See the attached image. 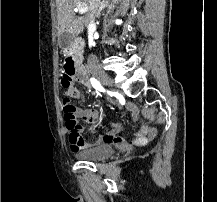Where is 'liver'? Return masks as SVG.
Returning <instances> with one entry per match:
<instances>
[{
    "label": "liver",
    "instance_id": "6515ba94",
    "mask_svg": "<svg viewBox=\"0 0 217 202\" xmlns=\"http://www.w3.org/2000/svg\"><path fill=\"white\" fill-rule=\"evenodd\" d=\"M78 2L79 0H56L59 34L68 32L73 36H79L83 32L85 18L74 14V8ZM83 4L86 8L88 0H83Z\"/></svg>",
    "mask_w": 217,
    "mask_h": 202
}]
</instances>
